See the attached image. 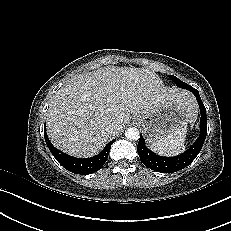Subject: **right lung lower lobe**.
<instances>
[{
  "instance_id": "right-lung-lower-lobe-1",
  "label": "right lung lower lobe",
  "mask_w": 231,
  "mask_h": 231,
  "mask_svg": "<svg viewBox=\"0 0 231 231\" xmlns=\"http://www.w3.org/2000/svg\"><path fill=\"white\" fill-rule=\"evenodd\" d=\"M44 137L46 144L50 150V152L53 154L55 159L67 170H69L72 173L80 174V175H86L94 173L101 169V167L105 164L111 145L114 143L115 140H112L109 142L105 148L96 156L90 157V158H75L72 156H69L58 149H56L48 139L47 133H46V126H44Z\"/></svg>"
}]
</instances>
